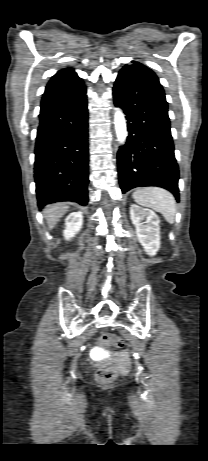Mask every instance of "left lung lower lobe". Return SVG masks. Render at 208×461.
<instances>
[{"label": "left lung lower lobe", "mask_w": 208, "mask_h": 461, "mask_svg": "<svg viewBox=\"0 0 208 461\" xmlns=\"http://www.w3.org/2000/svg\"><path fill=\"white\" fill-rule=\"evenodd\" d=\"M113 98L126 115L129 132L117 154L122 193L140 186H158L172 192L179 201V169L161 84L140 74L120 71Z\"/></svg>", "instance_id": "left-lung-lower-lobe-1"}]
</instances>
